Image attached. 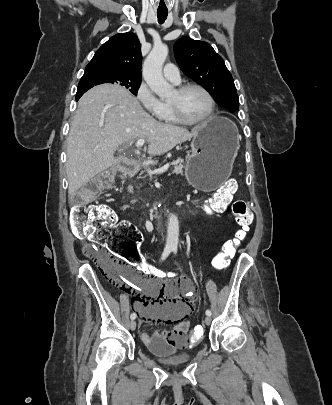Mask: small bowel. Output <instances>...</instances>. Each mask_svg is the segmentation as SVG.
<instances>
[{"instance_id": "c3829d8e", "label": "small bowel", "mask_w": 332, "mask_h": 405, "mask_svg": "<svg viewBox=\"0 0 332 405\" xmlns=\"http://www.w3.org/2000/svg\"><path fill=\"white\" fill-rule=\"evenodd\" d=\"M123 277V289L137 294L134 308L141 318V339L147 348L156 353H187L189 339L181 337L190 329L189 311L198 306V297H191V283L185 279H143L130 267L124 268ZM153 321H164L168 330L149 334L145 327Z\"/></svg>"}]
</instances>
